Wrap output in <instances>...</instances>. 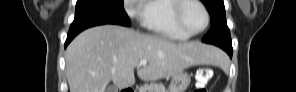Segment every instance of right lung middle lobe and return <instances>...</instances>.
<instances>
[{
    "instance_id": "1",
    "label": "right lung middle lobe",
    "mask_w": 296,
    "mask_h": 92,
    "mask_svg": "<svg viewBox=\"0 0 296 92\" xmlns=\"http://www.w3.org/2000/svg\"><path fill=\"white\" fill-rule=\"evenodd\" d=\"M86 22L131 25L123 7V0H77L72 24Z\"/></svg>"
}]
</instances>
